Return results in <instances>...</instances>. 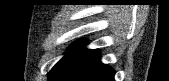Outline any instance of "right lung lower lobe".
Listing matches in <instances>:
<instances>
[{"label": "right lung lower lobe", "instance_id": "1", "mask_svg": "<svg viewBox=\"0 0 169 81\" xmlns=\"http://www.w3.org/2000/svg\"><path fill=\"white\" fill-rule=\"evenodd\" d=\"M76 43L48 74L49 81H114V70L99 60L97 50Z\"/></svg>", "mask_w": 169, "mask_h": 81}]
</instances>
